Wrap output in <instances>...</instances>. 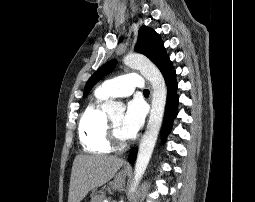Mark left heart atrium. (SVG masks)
Listing matches in <instances>:
<instances>
[{"instance_id": "1", "label": "left heart atrium", "mask_w": 255, "mask_h": 202, "mask_svg": "<svg viewBox=\"0 0 255 202\" xmlns=\"http://www.w3.org/2000/svg\"><path fill=\"white\" fill-rule=\"evenodd\" d=\"M145 120V107L139 100H132L128 103L123 118L122 127L129 138L134 137L142 128Z\"/></svg>"}]
</instances>
